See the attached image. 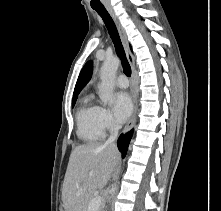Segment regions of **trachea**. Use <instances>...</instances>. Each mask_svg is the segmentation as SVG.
<instances>
[{"label":"trachea","instance_id":"3493384b","mask_svg":"<svg viewBox=\"0 0 221 211\" xmlns=\"http://www.w3.org/2000/svg\"><path fill=\"white\" fill-rule=\"evenodd\" d=\"M94 10L101 16L103 19L105 26L109 32V35L114 43L116 53L120 57L122 61V66H123V71L126 76L130 77L131 76V67L127 61L126 54L123 48V45L121 43L117 28L107 12L105 8H94Z\"/></svg>","mask_w":221,"mask_h":211}]
</instances>
